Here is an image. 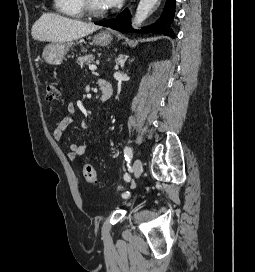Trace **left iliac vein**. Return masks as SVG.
I'll return each mask as SVG.
<instances>
[{
	"label": "left iliac vein",
	"mask_w": 255,
	"mask_h": 272,
	"mask_svg": "<svg viewBox=\"0 0 255 272\" xmlns=\"http://www.w3.org/2000/svg\"><path fill=\"white\" fill-rule=\"evenodd\" d=\"M143 171V165L140 159H135L133 163V173L136 178H138Z\"/></svg>",
	"instance_id": "obj_1"
}]
</instances>
